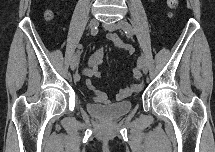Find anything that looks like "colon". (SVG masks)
Returning a JSON list of instances; mask_svg holds the SVG:
<instances>
[{
    "label": "colon",
    "instance_id": "colon-1",
    "mask_svg": "<svg viewBox=\"0 0 215 152\" xmlns=\"http://www.w3.org/2000/svg\"><path fill=\"white\" fill-rule=\"evenodd\" d=\"M168 4V7L170 8L171 11L175 10L179 4V1L178 0H168L167 2ZM46 18L47 19H52L53 18V13L51 11H47L46 12ZM133 76L136 78V79H139L141 78V69L139 66H136L133 71Z\"/></svg>",
    "mask_w": 215,
    "mask_h": 152
}]
</instances>
